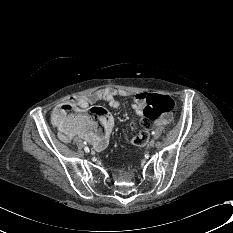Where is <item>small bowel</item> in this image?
<instances>
[{
    "label": "small bowel",
    "mask_w": 233,
    "mask_h": 233,
    "mask_svg": "<svg viewBox=\"0 0 233 233\" xmlns=\"http://www.w3.org/2000/svg\"><path fill=\"white\" fill-rule=\"evenodd\" d=\"M140 93L142 92L132 94L121 89L106 88L84 96L72 97L66 104L72 105L75 113H77L87 109L89 106L99 101H106L111 108L117 109L120 106V98H129L133 101L132 107L134 111L138 115H142V112L138 111L134 105V100ZM58 109L59 107L54 110L53 116L57 114ZM100 122L103 127V131L101 132L94 129L79 127L76 122L70 123L66 128L57 127L56 124L55 126L57 127L62 140L69 142L74 136L77 135L91 143L94 150L102 151L108 146L110 137L113 133V119L111 117L109 120L103 119L100 120ZM164 122H166V120H161L159 124ZM127 139H129V137H127Z\"/></svg>",
    "instance_id": "obj_1"
}]
</instances>
